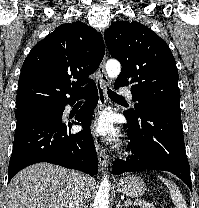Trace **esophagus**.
I'll use <instances>...</instances> for the list:
<instances>
[{"instance_id": "esophagus-1", "label": "esophagus", "mask_w": 199, "mask_h": 208, "mask_svg": "<svg viewBox=\"0 0 199 208\" xmlns=\"http://www.w3.org/2000/svg\"><path fill=\"white\" fill-rule=\"evenodd\" d=\"M105 63H106V57H104L103 61L101 62L99 68H98V78L96 79V86L98 89V95H99V103L97 111L100 112L107 104L108 97L106 93V85L109 84V78L105 71ZM95 148L98 156V161L101 170H105L108 164V157L105 154L104 150L100 146L97 138L95 139Z\"/></svg>"}]
</instances>
